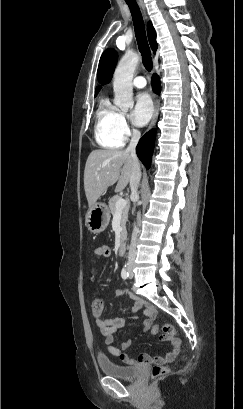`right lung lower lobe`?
I'll use <instances>...</instances> for the list:
<instances>
[{
    "label": "right lung lower lobe",
    "instance_id": "98d812e1",
    "mask_svg": "<svg viewBox=\"0 0 243 409\" xmlns=\"http://www.w3.org/2000/svg\"><path fill=\"white\" fill-rule=\"evenodd\" d=\"M152 87L154 92H160V80L159 77L154 74L152 77ZM154 142H155V130L152 129L147 134H145L136 147V152L139 159L145 165L146 168H150L151 165V158L154 149Z\"/></svg>",
    "mask_w": 243,
    "mask_h": 409
}]
</instances>
